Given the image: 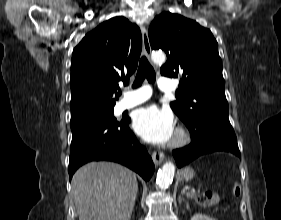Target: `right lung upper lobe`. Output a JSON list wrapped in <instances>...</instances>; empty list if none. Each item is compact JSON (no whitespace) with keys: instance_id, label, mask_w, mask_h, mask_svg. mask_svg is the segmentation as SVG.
Masks as SVG:
<instances>
[{"instance_id":"1","label":"right lung upper lobe","mask_w":281,"mask_h":220,"mask_svg":"<svg viewBox=\"0 0 281 220\" xmlns=\"http://www.w3.org/2000/svg\"><path fill=\"white\" fill-rule=\"evenodd\" d=\"M142 36L118 16L101 23L75 47L71 60V119L112 109L118 82L137 68Z\"/></svg>"}]
</instances>
